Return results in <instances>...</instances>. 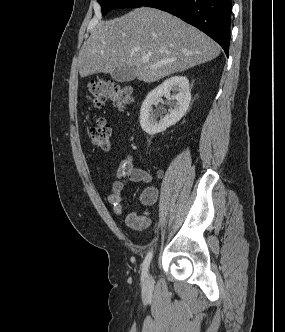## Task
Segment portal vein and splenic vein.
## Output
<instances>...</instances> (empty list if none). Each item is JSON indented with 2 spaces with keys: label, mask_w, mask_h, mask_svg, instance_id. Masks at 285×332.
Returning a JSON list of instances; mask_svg holds the SVG:
<instances>
[{
  "label": "portal vein and splenic vein",
  "mask_w": 285,
  "mask_h": 332,
  "mask_svg": "<svg viewBox=\"0 0 285 332\" xmlns=\"http://www.w3.org/2000/svg\"><path fill=\"white\" fill-rule=\"evenodd\" d=\"M148 61H149V57L148 56L142 57V62L147 63ZM161 65L162 64H153L151 67L154 68V67H159Z\"/></svg>",
  "instance_id": "1"
}]
</instances>
